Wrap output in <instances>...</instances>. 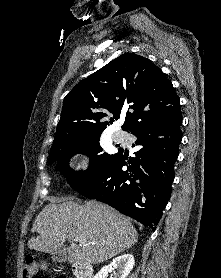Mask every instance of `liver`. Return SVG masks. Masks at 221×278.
<instances>
[{
    "label": "liver",
    "instance_id": "6515ba94",
    "mask_svg": "<svg viewBox=\"0 0 221 278\" xmlns=\"http://www.w3.org/2000/svg\"><path fill=\"white\" fill-rule=\"evenodd\" d=\"M37 215L32 232L39 236L28 241L32 250L53 253L66 239L70 242L68 262L98 264L131 248L138 234L131 222L111 207L87 201L79 205L72 199H50ZM85 240L79 247L75 238Z\"/></svg>",
    "mask_w": 221,
    "mask_h": 278
}]
</instances>
